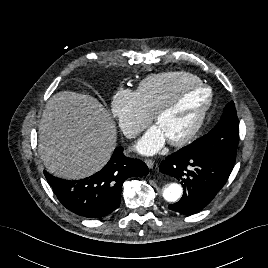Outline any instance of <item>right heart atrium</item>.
<instances>
[{"instance_id": "obj_1", "label": "right heart atrium", "mask_w": 268, "mask_h": 268, "mask_svg": "<svg viewBox=\"0 0 268 268\" xmlns=\"http://www.w3.org/2000/svg\"><path fill=\"white\" fill-rule=\"evenodd\" d=\"M111 112L128 137L140 133L153 118L138 91L129 89H119L114 94L111 100Z\"/></svg>"}]
</instances>
